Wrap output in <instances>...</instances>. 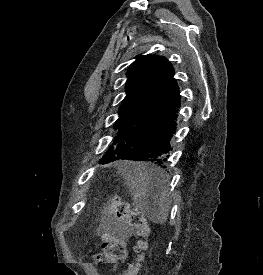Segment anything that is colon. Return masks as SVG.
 Instances as JSON below:
<instances>
[{
    "mask_svg": "<svg viewBox=\"0 0 263 275\" xmlns=\"http://www.w3.org/2000/svg\"><path fill=\"white\" fill-rule=\"evenodd\" d=\"M109 209L114 217L129 228L137 238L133 247L136 258L129 263L123 275H138L142 270V263L148 249L150 227L141 212L130 209L119 197L113 196L110 198ZM101 246L102 252L97 254L94 260L96 265H108L115 268L118 262L125 259L126 246L121 238L106 233L103 235Z\"/></svg>",
    "mask_w": 263,
    "mask_h": 275,
    "instance_id": "obj_1",
    "label": "colon"
}]
</instances>
